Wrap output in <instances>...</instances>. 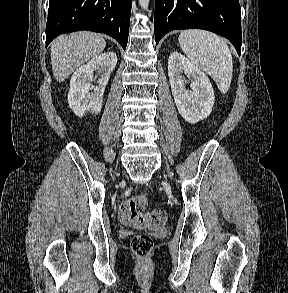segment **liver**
<instances>
[{
    "instance_id": "liver-1",
    "label": "liver",
    "mask_w": 288,
    "mask_h": 293,
    "mask_svg": "<svg viewBox=\"0 0 288 293\" xmlns=\"http://www.w3.org/2000/svg\"><path fill=\"white\" fill-rule=\"evenodd\" d=\"M105 47L102 36L87 31L57 37L51 43V64L57 82H63L82 64L98 56Z\"/></svg>"
}]
</instances>
